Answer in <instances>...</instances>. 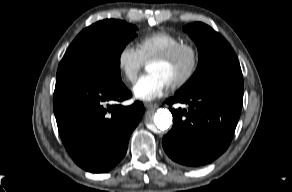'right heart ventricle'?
<instances>
[{
  "label": "right heart ventricle",
  "instance_id": "obj_1",
  "mask_svg": "<svg viewBox=\"0 0 292 192\" xmlns=\"http://www.w3.org/2000/svg\"><path fill=\"white\" fill-rule=\"evenodd\" d=\"M180 42H182L180 36L168 31L159 30L141 37L137 42V50L145 62Z\"/></svg>",
  "mask_w": 292,
  "mask_h": 192
}]
</instances>
